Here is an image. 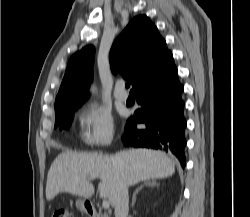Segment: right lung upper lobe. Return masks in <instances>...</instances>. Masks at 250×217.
<instances>
[{
	"label": "right lung upper lobe",
	"mask_w": 250,
	"mask_h": 217,
	"mask_svg": "<svg viewBox=\"0 0 250 217\" xmlns=\"http://www.w3.org/2000/svg\"><path fill=\"white\" fill-rule=\"evenodd\" d=\"M171 54L158 29L145 15L136 16L113 43L109 61L113 73L130 79L133 89L154 73ZM94 47L86 46L69 60L55 100V117L76 110L88 97Z\"/></svg>",
	"instance_id": "1"
}]
</instances>
